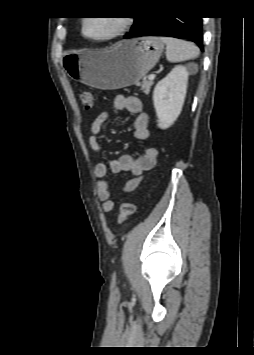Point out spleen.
Instances as JSON below:
<instances>
[{
    "label": "spleen",
    "instance_id": "3e777b00",
    "mask_svg": "<svg viewBox=\"0 0 254 355\" xmlns=\"http://www.w3.org/2000/svg\"><path fill=\"white\" fill-rule=\"evenodd\" d=\"M166 44V58L169 62L176 63L195 59L199 56L198 47L191 43L171 37L160 38Z\"/></svg>",
    "mask_w": 254,
    "mask_h": 355
}]
</instances>
